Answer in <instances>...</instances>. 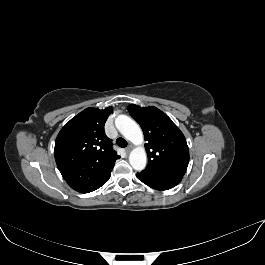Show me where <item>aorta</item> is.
Masks as SVG:
<instances>
[{
	"label": "aorta",
	"mask_w": 265,
	"mask_h": 265,
	"mask_svg": "<svg viewBox=\"0 0 265 265\" xmlns=\"http://www.w3.org/2000/svg\"><path fill=\"white\" fill-rule=\"evenodd\" d=\"M116 127L120 133L137 147L129 155V162L133 169L142 171L146 167L147 155L145 149L141 146L144 138L139 125L129 117L120 115L116 119Z\"/></svg>",
	"instance_id": "obj_1"
}]
</instances>
